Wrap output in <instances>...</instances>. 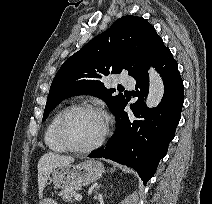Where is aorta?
<instances>
[{
  "label": "aorta",
  "mask_w": 212,
  "mask_h": 204,
  "mask_svg": "<svg viewBox=\"0 0 212 204\" xmlns=\"http://www.w3.org/2000/svg\"><path fill=\"white\" fill-rule=\"evenodd\" d=\"M149 73V93L146 99V105L154 108L159 105L164 95V83L159 73L152 67Z\"/></svg>",
  "instance_id": "762f6f07"
}]
</instances>
